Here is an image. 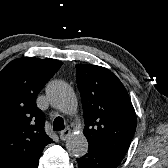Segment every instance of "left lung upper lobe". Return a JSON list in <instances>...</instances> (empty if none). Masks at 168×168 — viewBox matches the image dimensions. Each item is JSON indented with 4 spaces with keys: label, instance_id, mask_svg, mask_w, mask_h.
Masks as SVG:
<instances>
[{
    "label": "left lung upper lobe",
    "instance_id": "left-lung-upper-lobe-1",
    "mask_svg": "<svg viewBox=\"0 0 168 168\" xmlns=\"http://www.w3.org/2000/svg\"><path fill=\"white\" fill-rule=\"evenodd\" d=\"M76 76L89 146L122 160L137 122L127 90L114 73L101 66L77 64Z\"/></svg>",
    "mask_w": 168,
    "mask_h": 168
}]
</instances>
